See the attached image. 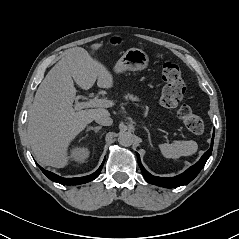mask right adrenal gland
Returning a JSON list of instances; mask_svg holds the SVG:
<instances>
[{"label":"right adrenal gland","mask_w":239,"mask_h":239,"mask_svg":"<svg viewBox=\"0 0 239 239\" xmlns=\"http://www.w3.org/2000/svg\"><path fill=\"white\" fill-rule=\"evenodd\" d=\"M102 126H96V127H88L86 131L94 130L95 133H97Z\"/></svg>","instance_id":"2a0ac1e0"}]
</instances>
